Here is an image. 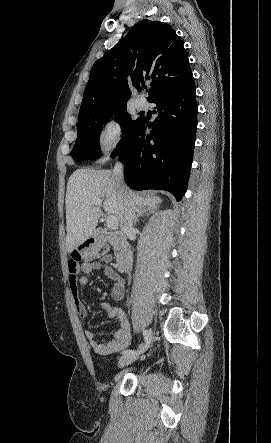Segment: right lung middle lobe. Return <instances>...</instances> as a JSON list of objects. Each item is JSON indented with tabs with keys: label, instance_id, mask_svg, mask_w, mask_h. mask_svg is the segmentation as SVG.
<instances>
[{
	"label": "right lung middle lobe",
	"instance_id": "dd1d6c3e",
	"mask_svg": "<svg viewBox=\"0 0 271 443\" xmlns=\"http://www.w3.org/2000/svg\"><path fill=\"white\" fill-rule=\"evenodd\" d=\"M127 107L115 109L100 117L80 118L77 123V139L71 152V156L76 161L93 160L100 156L99 134L107 121L115 115L122 129L123 136L112 155H116L124 136L130 129L138 123L139 119L132 120L131 115L126 111Z\"/></svg>",
	"mask_w": 271,
	"mask_h": 443
}]
</instances>
